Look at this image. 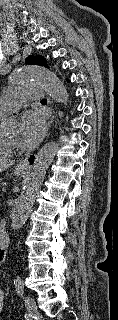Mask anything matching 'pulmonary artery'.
<instances>
[{"mask_svg":"<svg viewBox=\"0 0 118 320\" xmlns=\"http://www.w3.org/2000/svg\"><path fill=\"white\" fill-rule=\"evenodd\" d=\"M41 99V86L29 84L21 89H12L8 95L0 99V113L15 112L26 101H39Z\"/></svg>","mask_w":118,"mask_h":320,"instance_id":"1","label":"pulmonary artery"}]
</instances>
